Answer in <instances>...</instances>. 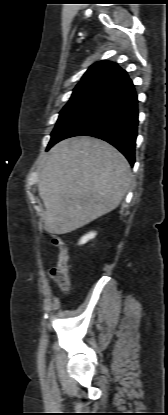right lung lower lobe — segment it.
Masks as SVG:
<instances>
[{"label":"right lung lower lobe","instance_id":"right-lung-lower-lobe-1","mask_svg":"<svg viewBox=\"0 0 168 415\" xmlns=\"http://www.w3.org/2000/svg\"><path fill=\"white\" fill-rule=\"evenodd\" d=\"M137 127L138 99L127 75L74 114L51 137L47 149L65 138L92 136L115 146L133 166Z\"/></svg>","mask_w":168,"mask_h":415}]
</instances>
